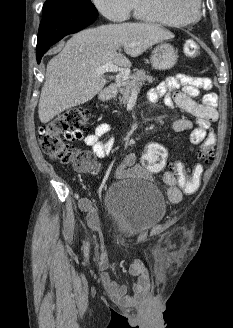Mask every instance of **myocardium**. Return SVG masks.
Instances as JSON below:
<instances>
[{"label":"myocardium","instance_id":"f54148a6","mask_svg":"<svg viewBox=\"0 0 233 328\" xmlns=\"http://www.w3.org/2000/svg\"><path fill=\"white\" fill-rule=\"evenodd\" d=\"M153 5L169 14L183 25H191L201 18L202 0H151ZM193 5V10L188 12L186 6Z\"/></svg>","mask_w":233,"mask_h":328}]
</instances>
